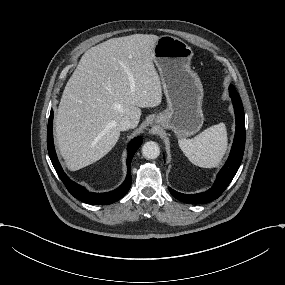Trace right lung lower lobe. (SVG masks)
Listing matches in <instances>:
<instances>
[{"label": "right lung lower lobe", "mask_w": 285, "mask_h": 285, "mask_svg": "<svg viewBox=\"0 0 285 285\" xmlns=\"http://www.w3.org/2000/svg\"><path fill=\"white\" fill-rule=\"evenodd\" d=\"M53 110L50 112V117L48 121V127H47V148L49 152V156L51 159V162L68 189V191L78 200L88 203V204H95V205H106L114 203L115 201L122 198L130 189L131 186V172H130V164L132 161V158L135 154V152L138 150L139 146L142 144V138L138 137L133 139L129 146H128V157H127V177L124 181V183L118 187L116 190H113L111 192L107 193H91L88 192L86 189H84L82 186L76 184L72 180H70L67 175L62 170L60 163L57 159L55 149H54V143H53Z\"/></svg>", "instance_id": "right-lung-lower-lobe-1"}]
</instances>
